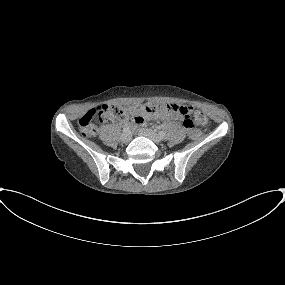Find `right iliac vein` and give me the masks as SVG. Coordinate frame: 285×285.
Instances as JSON below:
<instances>
[{
  "label": "right iliac vein",
  "instance_id": "obj_1",
  "mask_svg": "<svg viewBox=\"0 0 285 285\" xmlns=\"http://www.w3.org/2000/svg\"><path fill=\"white\" fill-rule=\"evenodd\" d=\"M121 140L123 143H128L131 140V135L130 133H123Z\"/></svg>",
  "mask_w": 285,
  "mask_h": 285
}]
</instances>
